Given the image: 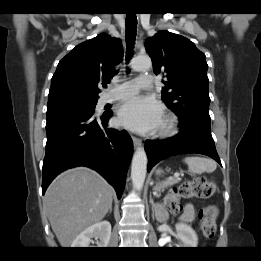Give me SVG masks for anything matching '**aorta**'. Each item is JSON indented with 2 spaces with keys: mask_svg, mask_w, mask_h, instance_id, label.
Listing matches in <instances>:
<instances>
[{
  "mask_svg": "<svg viewBox=\"0 0 261 261\" xmlns=\"http://www.w3.org/2000/svg\"><path fill=\"white\" fill-rule=\"evenodd\" d=\"M131 67L135 71H144L151 67V59L148 56H138L132 59ZM147 172V155L143 148H138L132 159L131 179L133 187L141 191Z\"/></svg>",
  "mask_w": 261,
  "mask_h": 261,
  "instance_id": "762f6f07",
  "label": "aorta"
}]
</instances>
